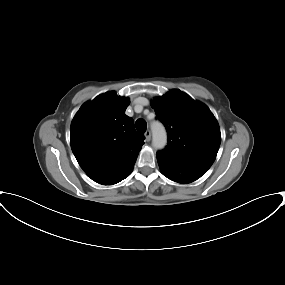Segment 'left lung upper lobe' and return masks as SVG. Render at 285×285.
I'll return each mask as SVG.
<instances>
[{"label":"left lung upper lobe","instance_id":"5c2ea615","mask_svg":"<svg viewBox=\"0 0 285 285\" xmlns=\"http://www.w3.org/2000/svg\"><path fill=\"white\" fill-rule=\"evenodd\" d=\"M151 106L168 132V145L159 153L208 170L221 143L220 128L210 109L180 90L155 98Z\"/></svg>","mask_w":285,"mask_h":285}]
</instances>
